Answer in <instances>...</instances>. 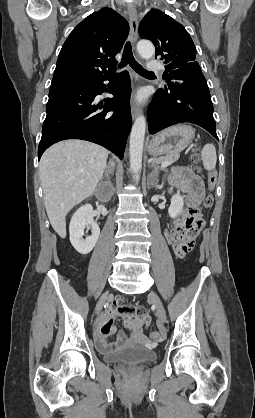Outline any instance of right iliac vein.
Here are the masks:
<instances>
[{
  "instance_id": "right-iliac-vein-1",
  "label": "right iliac vein",
  "mask_w": 255,
  "mask_h": 418,
  "mask_svg": "<svg viewBox=\"0 0 255 418\" xmlns=\"http://www.w3.org/2000/svg\"><path fill=\"white\" fill-rule=\"evenodd\" d=\"M108 297H109V294L108 293L104 294L101 297V299L99 300V302L97 303V306H96V313L97 314H99L101 312V310H102V308H103L106 300L108 299Z\"/></svg>"
}]
</instances>
